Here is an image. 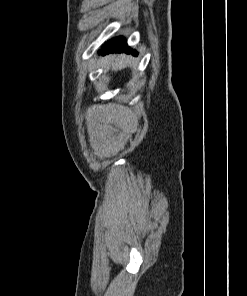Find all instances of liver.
Wrapping results in <instances>:
<instances>
[{
	"mask_svg": "<svg viewBox=\"0 0 247 296\" xmlns=\"http://www.w3.org/2000/svg\"><path fill=\"white\" fill-rule=\"evenodd\" d=\"M122 66H123L122 63H119L118 67L121 68Z\"/></svg>",
	"mask_w": 247,
	"mask_h": 296,
	"instance_id": "1",
	"label": "liver"
}]
</instances>
